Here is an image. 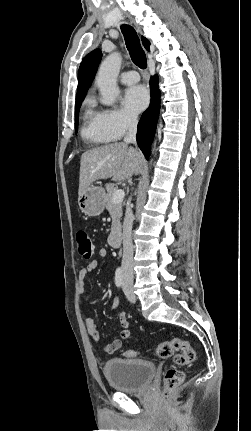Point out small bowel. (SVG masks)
I'll use <instances>...</instances> for the list:
<instances>
[{
	"label": "small bowel",
	"instance_id": "small-bowel-1",
	"mask_svg": "<svg viewBox=\"0 0 251 431\" xmlns=\"http://www.w3.org/2000/svg\"><path fill=\"white\" fill-rule=\"evenodd\" d=\"M99 255L101 257L107 256V250L105 248H101L99 250ZM99 266H100L99 261L93 260V261L89 262L88 264H86L85 266H83L79 270L78 279H77V291H78V295H79L80 299L82 298V296L85 292V278L87 277V275L89 273H91L92 271L97 269ZM119 306H120L119 298L115 297L113 299V302H112V310H114V311L118 310ZM119 322H120L122 329L118 333V336L116 339L105 344L102 347V351L105 354H113L114 352L118 351L122 346V341L125 339H128L131 335V332L129 329L130 324H129V321H128L124 312H120ZM84 323H85L86 329H87L90 337L93 340H95L96 342H99L100 334H99L97 323L94 320V318L91 316H85L84 317Z\"/></svg>",
	"mask_w": 251,
	"mask_h": 431
}]
</instances>
